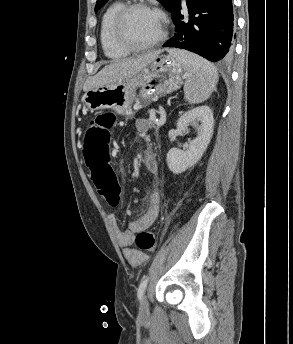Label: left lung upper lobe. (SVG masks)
<instances>
[{"instance_id": "obj_1", "label": "left lung upper lobe", "mask_w": 293, "mask_h": 344, "mask_svg": "<svg viewBox=\"0 0 293 344\" xmlns=\"http://www.w3.org/2000/svg\"><path fill=\"white\" fill-rule=\"evenodd\" d=\"M108 0H97L95 12L102 8ZM159 1L172 15L175 13L180 0H157Z\"/></svg>"}]
</instances>
